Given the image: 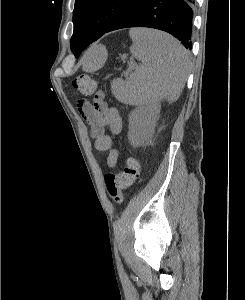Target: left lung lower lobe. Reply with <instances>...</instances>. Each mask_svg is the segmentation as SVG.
Instances as JSON below:
<instances>
[{"instance_id": "1", "label": "left lung lower lobe", "mask_w": 245, "mask_h": 300, "mask_svg": "<svg viewBox=\"0 0 245 300\" xmlns=\"http://www.w3.org/2000/svg\"><path fill=\"white\" fill-rule=\"evenodd\" d=\"M193 8L194 0H135L105 33L128 27L155 28L172 34L186 48L191 49ZM101 36L84 41L75 56L78 57L82 50Z\"/></svg>"}]
</instances>
